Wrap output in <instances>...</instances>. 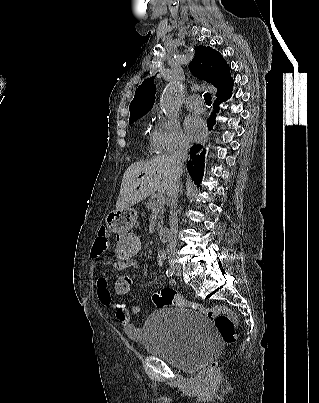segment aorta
Masks as SVG:
<instances>
[{
  "mask_svg": "<svg viewBox=\"0 0 319 403\" xmlns=\"http://www.w3.org/2000/svg\"><path fill=\"white\" fill-rule=\"evenodd\" d=\"M182 86L178 82L169 83L164 89L160 106L164 114L171 119L177 118L180 109Z\"/></svg>",
  "mask_w": 319,
  "mask_h": 403,
  "instance_id": "1",
  "label": "aorta"
}]
</instances>
